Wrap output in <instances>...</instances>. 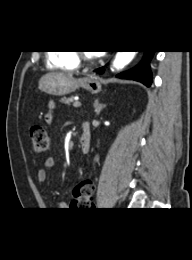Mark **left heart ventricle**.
<instances>
[{
  "label": "left heart ventricle",
  "mask_w": 192,
  "mask_h": 260,
  "mask_svg": "<svg viewBox=\"0 0 192 260\" xmlns=\"http://www.w3.org/2000/svg\"><path fill=\"white\" fill-rule=\"evenodd\" d=\"M89 54H90V55H94V53H90V52H89Z\"/></svg>",
  "instance_id": "obj_1"
}]
</instances>
